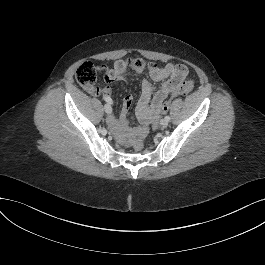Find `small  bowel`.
Segmentation results:
<instances>
[{
    "mask_svg": "<svg viewBox=\"0 0 265 265\" xmlns=\"http://www.w3.org/2000/svg\"><path fill=\"white\" fill-rule=\"evenodd\" d=\"M129 69L128 64L123 60H117L111 68L105 65L99 66V71L105 73L107 86L93 87L89 92L94 95L102 94L103 98H110L112 90L110 85L124 78ZM188 71L182 64L168 63L164 66H154L150 69L149 75L153 82H161L159 89H156L151 81L144 79L141 83V96L138 102L137 112L142 123L152 121L159 113V109L172 91L183 81ZM112 100V99H111ZM133 97L128 95L124 98L119 118L107 117V124L114 130L121 129L126 123L128 110L132 106Z\"/></svg>",
    "mask_w": 265,
    "mask_h": 265,
    "instance_id": "c3829d8e",
    "label": "small bowel"
}]
</instances>
